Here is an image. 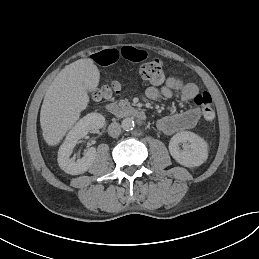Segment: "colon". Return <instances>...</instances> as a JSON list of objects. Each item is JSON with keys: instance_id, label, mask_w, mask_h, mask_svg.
I'll return each instance as SVG.
<instances>
[{"instance_id": "obj_1", "label": "colon", "mask_w": 259, "mask_h": 259, "mask_svg": "<svg viewBox=\"0 0 259 259\" xmlns=\"http://www.w3.org/2000/svg\"><path fill=\"white\" fill-rule=\"evenodd\" d=\"M139 75L142 80L157 85L164 80L163 62L154 58L144 63L139 70ZM117 90L116 86H105L95 91L96 98H105ZM195 103L203 110L204 118L207 122L211 123L215 120V110L212 98L208 92L198 93L194 99Z\"/></svg>"}]
</instances>
